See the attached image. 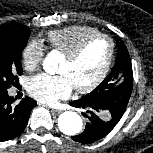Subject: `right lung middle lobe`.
<instances>
[{"label": "right lung middle lobe", "mask_w": 153, "mask_h": 153, "mask_svg": "<svg viewBox=\"0 0 153 153\" xmlns=\"http://www.w3.org/2000/svg\"><path fill=\"white\" fill-rule=\"evenodd\" d=\"M31 31L24 27L0 28V90L15 85L21 75L22 51Z\"/></svg>", "instance_id": "dd1d6c3e"}]
</instances>
